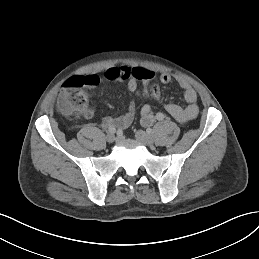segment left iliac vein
<instances>
[{
    "instance_id": "4c4485c4",
    "label": "left iliac vein",
    "mask_w": 259,
    "mask_h": 259,
    "mask_svg": "<svg viewBox=\"0 0 259 259\" xmlns=\"http://www.w3.org/2000/svg\"><path fill=\"white\" fill-rule=\"evenodd\" d=\"M135 137L137 141H139L140 143L146 146H152L154 143V139L152 135L142 130H138L135 134Z\"/></svg>"
}]
</instances>
